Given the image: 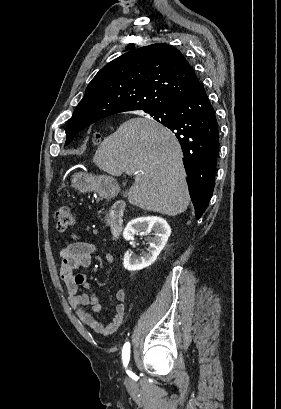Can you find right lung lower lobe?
I'll list each match as a JSON object with an SVG mask.
<instances>
[{
    "label": "right lung lower lobe",
    "instance_id": "98d812e1",
    "mask_svg": "<svg viewBox=\"0 0 281 409\" xmlns=\"http://www.w3.org/2000/svg\"><path fill=\"white\" fill-rule=\"evenodd\" d=\"M148 113L161 119L180 142L190 197L199 219L212 196L219 150V125L202 83L179 101Z\"/></svg>",
    "mask_w": 281,
    "mask_h": 409
}]
</instances>
